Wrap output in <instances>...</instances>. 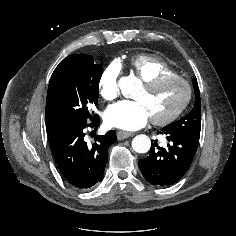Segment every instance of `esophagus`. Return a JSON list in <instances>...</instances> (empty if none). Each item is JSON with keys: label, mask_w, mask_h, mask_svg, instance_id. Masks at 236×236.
<instances>
[{"label": "esophagus", "mask_w": 236, "mask_h": 236, "mask_svg": "<svg viewBox=\"0 0 236 236\" xmlns=\"http://www.w3.org/2000/svg\"><path fill=\"white\" fill-rule=\"evenodd\" d=\"M131 136H133V133H131V132L121 131V130L117 131V138L119 140H123V139L129 138Z\"/></svg>", "instance_id": "1"}]
</instances>
